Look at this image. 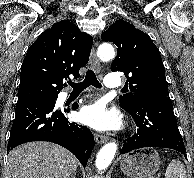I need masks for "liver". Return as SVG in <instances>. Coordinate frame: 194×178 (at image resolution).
Segmentation results:
<instances>
[{"label":"liver","instance_id":"liver-1","mask_svg":"<svg viewBox=\"0 0 194 178\" xmlns=\"http://www.w3.org/2000/svg\"><path fill=\"white\" fill-rule=\"evenodd\" d=\"M79 162L65 148L49 142H29L11 150L5 178H70Z\"/></svg>","mask_w":194,"mask_h":178}]
</instances>
